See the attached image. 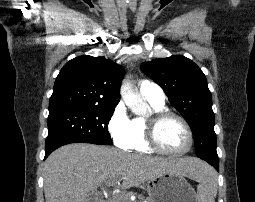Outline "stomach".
<instances>
[{"label": "stomach", "instance_id": "obj_1", "mask_svg": "<svg viewBox=\"0 0 255 202\" xmlns=\"http://www.w3.org/2000/svg\"><path fill=\"white\" fill-rule=\"evenodd\" d=\"M153 186H146L150 202H197V195L184 178L177 173H164L150 179Z\"/></svg>", "mask_w": 255, "mask_h": 202}]
</instances>
